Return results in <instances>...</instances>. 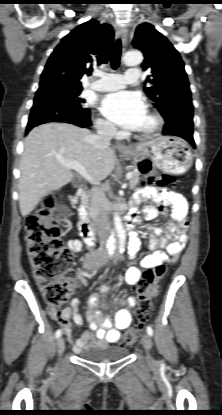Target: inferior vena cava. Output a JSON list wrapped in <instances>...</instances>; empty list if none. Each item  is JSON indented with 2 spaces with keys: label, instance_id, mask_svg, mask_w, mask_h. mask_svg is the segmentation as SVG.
Segmentation results:
<instances>
[{
  "label": "inferior vena cava",
  "instance_id": "inferior-vena-cava-1",
  "mask_svg": "<svg viewBox=\"0 0 222 415\" xmlns=\"http://www.w3.org/2000/svg\"><path fill=\"white\" fill-rule=\"evenodd\" d=\"M97 134L90 137L92 145L98 149H106L110 145V141L116 133V127L109 122H100L96 125ZM90 214L96 224L100 241V248L96 251V255L106 256L108 254L106 248L107 242V199L101 188L93 187L91 191Z\"/></svg>",
  "mask_w": 222,
  "mask_h": 415
}]
</instances>
